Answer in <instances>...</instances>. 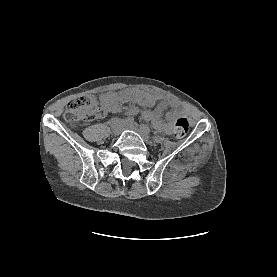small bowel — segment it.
I'll return each instance as SVG.
<instances>
[{
  "mask_svg": "<svg viewBox=\"0 0 277 277\" xmlns=\"http://www.w3.org/2000/svg\"><path fill=\"white\" fill-rule=\"evenodd\" d=\"M159 100L160 103L155 110H143L141 115L150 121L153 126L166 133L171 131L176 112L171 111L173 103L168 98H162L159 93L152 90L130 89L122 93L108 92L101 96L102 114L115 113L121 110L124 103L133 102L143 106H154ZM166 111V114L163 113ZM140 112L138 106H132L127 110V115H136Z\"/></svg>",
  "mask_w": 277,
  "mask_h": 277,
  "instance_id": "c3829d8e",
  "label": "small bowel"
}]
</instances>
